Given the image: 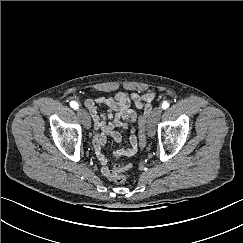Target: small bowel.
<instances>
[{
	"instance_id": "obj_1",
	"label": "small bowel",
	"mask_w": 243,
	"mask_h": 243,
	"mask_svg": "<svg viewBox=\"0 0 243 243\" xmlns=\"http://www.w3.org/2000/svg\"><path fill=\"white\" fill-rule=\"evenodd\" d=\"M154 98L155 94L152 92L142 94L118 92L114 96H102L85 101V106L94 121V128L96 130L93 137L95 154L102 166L101 173L108 180H115L118 169L117 166L113 169L107 166V158L104 153L107 137H112L116 142H121L123 135L115 131V128L127 130V147L116 150L114 155L116 157L134 155L141 146L139 135H136V129L133 127L138 116L136 111L131 108V105L133 104L141 111V116L147 117L151 111V102ZM99 105L106 107L105 113L98 110Z\"/></svg>"
}]
</instances>
